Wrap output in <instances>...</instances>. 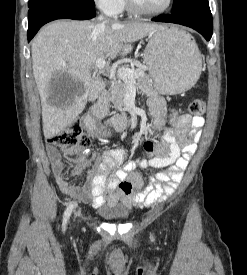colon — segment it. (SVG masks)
<instances>
[{
  "label": "colon",
  "instance_id": "colon-1",
  "mask_svg": "<svg viewBox=\"0 0 247 275\" xmlns=\"http://www.w3.org/2000/svg\"><path fill=\"white\" fill-rule=\"evenodd\" d=\"M188 110L194 115H202L205 104L202 100L195 99L189 104ZM48 143L62 149L69 160L78 161L82 157L81 150L89 146L90 139L84 133L81 123L75 121L61 132L51 136ZM93 159L100 161V157L96 154L93 155ZM121 189L125 192L129 191L126 185H122Z\"/></svg>",
  "mask_w": 247,
  "mask_h": 275
}]
</instances>
